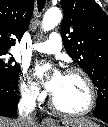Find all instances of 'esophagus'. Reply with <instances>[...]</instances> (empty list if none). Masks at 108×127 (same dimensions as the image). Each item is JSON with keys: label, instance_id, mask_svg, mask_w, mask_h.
Masks as SVG:
<instances>
[{"label": "esophagus", "instance_id": "34e87169", "mask_svg": "<svg viewBox=\"0 0 108 127\" xmlns=\"http://www.w3.org/2000/svg\"><path fill=\"white\" fill-rule=\"evenodd\" d=\"M42 125L44 127H54L55 126V122L53 121V119L47 117V118L43 119Z\"/></svg>", "mask_w": 108, "mask_h": 127}]
</instances>
